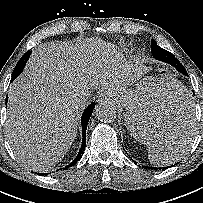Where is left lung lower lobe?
Wrapping results in <instances>:
<instances>
[{
  "mask_svg": "<svg viewBox=\"0 0 203 203\" xmlns=\"http://www.w3.org/2000/svg\"><path fill=\"white\" fill-rule=\"evenodd\" d=\"M152 55L159 61H162V62H165V63H168L172 66H174L179 72H184L183 74L187 75V72L185 69H183V66L182 64L175 58V56L170 53L169 51L167 50H164L163 48L159 47L158 49L154 50L152 52ZM135 113V112H134ZM186 131V130H185ZM191 131H189V133H187V135H184L186 133H183L181 135H179L178 137L174 138L175 141L177 142H180V143H183V141L189 137L191 138V134H190ZM179 145H182V144H179ZM187 145V144H186ZM185 146V145H184ZM178 147V146H177ZM181 147V146H179ZM134 163H136L134 161ZM144 168H148V169H157V168H153V167H148V166H142ZM168 168V167H167Z\"/></svg>",
  "mask_w": 203,
  "mask_h": 203,
  "instance_id": "obj_1",
  "label": "left lung lower lobe"
}]
</instances>
